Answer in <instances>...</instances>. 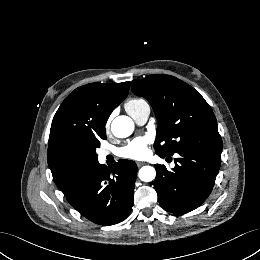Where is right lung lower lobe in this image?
I'll return each mask as SVG.
<instances>
[{"instance_id":"98d812e1","label":"right lung lower lobe","mask_w":260,"mask_h":260,"mask_svg":"<svg viewBox=\"0 0 260 260\" xmlns=\"http://www.w3.org/2000/svg\"><path fill=\"white\" fill-rule=\"evenodd\" d=\"M110 171L99 163L65 194L68 202L84 217L100 225L123 221L134 203L137 166L131 160H119Z\"/></svg>"}]
</instances>
